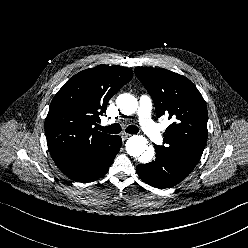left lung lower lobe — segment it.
I'll use <instances>...</instances> for the list:
<instances>
[{"mask_svg": "<svg viewBox=\"0 0 248 248\" xmlns=\"http://www.w3.org/2000/svg\"><path fill=\"white\" fill-rule=\"evenodd\" d=\"M156 151V159L149 164H139L136 171L147 184L160 189L169 188L181 182L190 171L182 168L170 157Z\"/></svg>", "mask_w": 248, "mask_h": 248, "instance_id": "obj_1", "label": "left lung lower lobe"}]
</instances>
